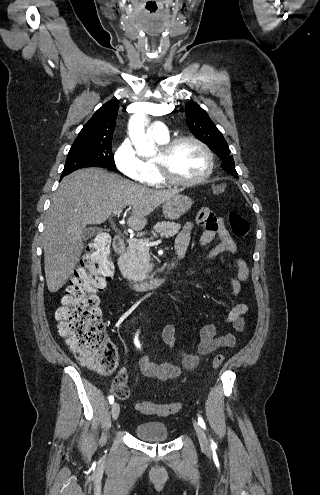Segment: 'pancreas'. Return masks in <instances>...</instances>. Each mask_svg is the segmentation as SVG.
<instances>
[{"instance_id": "pancreas-1", "label": "pancreas", "mask_w": 320, "mask_h": 495, "mask_svg": "<svg viewBox=\"0 0 320 495\" xmlns=\"http://www.w3.org/2000/svg\"><path fill=\"white\" fill-rule=\"evenodd\" d=\"M181 225L175 222L157 223L152 234L154 237H172L179 232ZM126 252L120 257L118 265L122 273L134 282H140L150 266L149 247H142L140 242H149L147 239H129Z\"/></svg>"}]
</instances>
